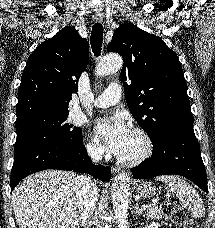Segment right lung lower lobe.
<instances>
[{
	"mask_svg": "<svg viewBox=\"0 0 215 228\" xmlns=\"http://www.w3.org/2000/svg\"><path fill=\"white\" fill-rule=\"evenodd\" d=\"M46 169L89 173L104 182L111 178L110 167L92 164L83 144L46 141L14 152L11 192L26 176Z\"/></svg>",
	"mask_w": 215,
	"mask_h": 228,
	"instance_id": "98d812e1",
	"label": "right lung lower lobe"
}]
</instances>
